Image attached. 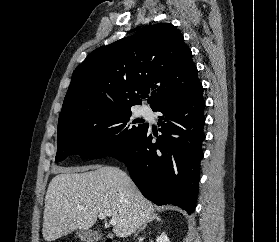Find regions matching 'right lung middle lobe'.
Wrapping results in <instances>:
<instances>
[{"label": "right lung middle lobe", "instance_id": "right-lung-middle-lobe-1", "mask_svg": "<svg viewBox=\"0 0 279 242\" xmlns=\"http://www.w3.org/2000/svg\"><path fill=\"white\" fill-rule=\"evenodd\" d=\"M124 111L102 118H85L58 124L56 162L77 154L86 159L113 156L128 147L148 127Z\"/></svg>", "mask_w": 279, "mask_h": 242}]
</instances>
